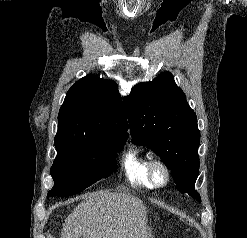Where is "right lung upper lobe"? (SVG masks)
Returning a JSON list of instances; mask_svg holds the SVG:
<instances>
[{
    "mask_svg": "<svg viewBox=\"0 0 247 238\" xmlns=\"http://www.w3.org/2000/svg\"><path fill=\"white\" fill-rule=\"evenodd\" d=\"M65 137L126 142L127 120L114 81L88 75L69 89L55 138Z\"/></svg>",
    "mask_w": 247,
    "mask_h": 238,
    "instance_id": "right-lung-upper-lobe-1",
    "label": "right lung upper lobe"
}]
</instances>
